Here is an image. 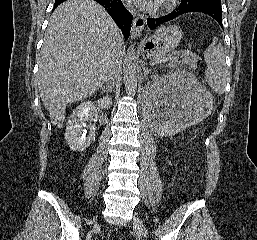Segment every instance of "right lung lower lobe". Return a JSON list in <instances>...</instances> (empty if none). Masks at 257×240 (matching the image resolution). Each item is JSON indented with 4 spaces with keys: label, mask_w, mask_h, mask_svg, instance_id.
<instances>
[{
    "label": "right lung lower lobe",
    "mask_w": 257,
    "mask_h": 240,
    "mask_svg": "<svg viewBox=\"0 0 257 240\" xmlns=\"http://www.w3.org/2000/svg\"><path fill=\"white\" fill-rule=\"evenodd\" d=\"M101 4L107 12L111 15L113 20L122 30L125 40L128 39L131 28L132 16L130 12L124 7L120 0H95ZM58 5H55V8Z\"/></svg>",
    "instance_id": "1"
}]
</instances>
